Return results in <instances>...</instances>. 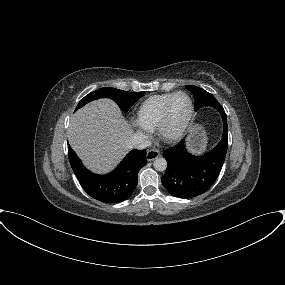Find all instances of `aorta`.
I'll use <instances>...</instances> for the list:
<instances>
[{"instance_id":"obj_1","label":"aorta","mask_w":285,"mask_h":285,"mask_svg":"<svg viewBox=\"0 0 285 285\" xmlns=\"http://www.w3.org/2000/svg\"><path fill=\"white\" fill-rule=\"evenodd\" d=\"M153 165L157 171H164L167 168V161L165 158L159 157L154 160Z\"/></svg>"}]
</instances>
